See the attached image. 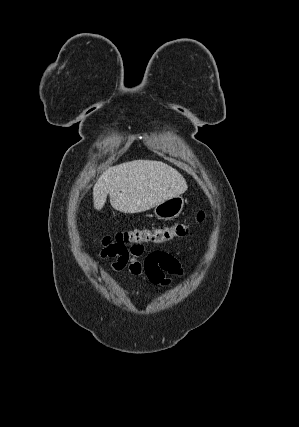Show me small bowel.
I'll list each match as a JSON object with an SVG mask.
<instances>
[{
  "label": "small bowel",
  "mask_w": 299,
  "mask_h": 427,
  "mask_svg": "<svg viewBox=\"0 0 299 427\" xmlns=\"http://www.w3.org/2000/svg\"><path fill=\"white\" fill-rule=\"evenodd\" d=\"M145 253L141 244H135L115 257L111 268L116 272L128 270L135 276H146L155 285H165L169 276H180L184 270L178 260L170 253L156 251L149 253L144 261H140Z\"/></svg>",
  "instance_id": "small-bowel-1"
}]
</instances>
